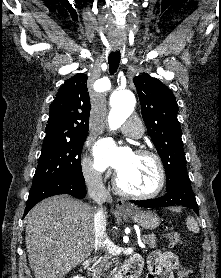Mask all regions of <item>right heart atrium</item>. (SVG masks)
Instances as JSON below:
<instances>
[{
  "label": "right heart atrium",
  "instance_id": "1",
  "mask_svg": "<svg viewBox=\"0 0 221 278\" xmlns=\"http://www.w3.org/2000/svg\"><path fill=\"white\" fill-rule=\"evenodd\" d=\"M81 173L85 181L91 184H96L102 179V172L94 165L89 156L82 158Z\"/></svg>",
  "mask_w": 221,
  "mask_h": 278
}]
</instances>
